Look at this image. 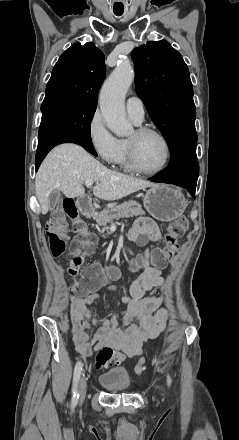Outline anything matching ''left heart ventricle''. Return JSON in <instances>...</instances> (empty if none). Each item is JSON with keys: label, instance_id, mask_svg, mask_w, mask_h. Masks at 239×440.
<instances>
[{"label": "left heart ventricle", "instance_id": "left-heart-ventricle-1", "mask_svg": "<svg viewBox=\"0 0 239 440\" xmlns=\"http://www.w3.org/2000/svg\"><path fill=\"white\" fill-rule=\"evenodd\" d=\"M127 139L135 146L139 163L143 168L154 171L164 164L166 149L159 137L155 135L139 136L134 130Z\"/></svg>", "mask_w": 239, "mask_h": 440}]
</instances>
